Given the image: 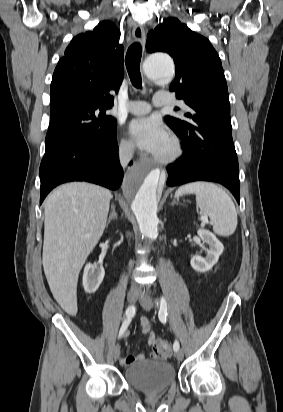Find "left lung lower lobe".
Here are the masks:
<instances>
[{
    "mask_svg": "<svg viewBox=\"0 0 283 412\" xmlns=\"http://www.w3.org/2000/svg\"><path fill=\"white\" fill-rule=\"evenodd\" d=\"M182 140L183 155L177 162L167 166V184L176 186L192 181H213L224 185L240 203L239 167L224 165L211 160L199 137L186 134Z\"/></svg>",
    "mask_w": 283,
    "mask_h": 412,
    "instance_id": "obj_1",
    "label": "left lung lower lobe"
}]
</instances>
